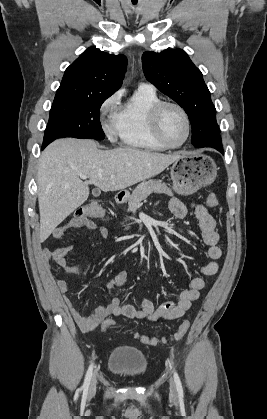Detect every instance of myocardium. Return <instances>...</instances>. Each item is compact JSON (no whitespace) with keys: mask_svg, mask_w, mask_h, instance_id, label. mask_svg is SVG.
<instances>
[{"mask_svg":"<svg viewBox=\"0 0 267 419\" xmlns=\"http://www.w3.org/2000/svg\"><path fill=\"white\" fill-rule=\"evenodd\" d=\"M167 107H173L175 109H177L181 115L184 118L185 121V125H186V135L185 138L183 139V141L179 144H171L169 143L161 130V116L163 111L165 110V108ZM149 122H150V127H151V131L154 135V137L156 138V140L163 145L166 148L169 149H176V148H180L181 146H183L189 139L190 134H191V121L189 118V115L187 113V111L178 103L176 102H172V101H160L159 103H157L150 111V116H149Z\"/></svg>","mask_w":267,"mask_h":419,"instance_id":"1","label":"myocardium"}]
</instances>
